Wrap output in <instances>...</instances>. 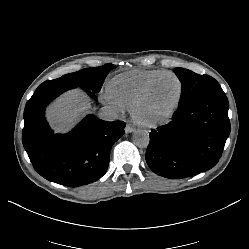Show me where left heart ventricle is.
Instances as JSON below:
<instances>
[{
    "mask_svg": "<svg viewBox=\"0 0 249 249\" xmlns=\"http://www.w3.org/2000/svg\"><path fill=\"white\" fill-rule=\"evenodd\" d=\"M179 95V84L174 77L168 76L159 80L139 108L143 119H154L164 116L176 103Z\"/></svg>",
    "mask_w": 249,
    "mask_h": 249,
    "instance_id": "b2bd125f",
    "label": "left heart ventricle"
}]
</instances>
